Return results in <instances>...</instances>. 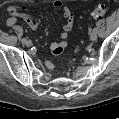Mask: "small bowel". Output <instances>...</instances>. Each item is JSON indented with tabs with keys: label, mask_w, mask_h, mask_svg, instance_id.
Returning <instances> with one entry per match:
<instances>
[{
	"label": "small bowel",
	"mask_w": 119,
	"mask_h": 119,
	"mask_svg": "<svg viewBox=\"0 0 119 119\" xmlns=\"http://www.w3.org/2000/svg\"><path fill=\"white\" fill-rule=\"evenodd\" d=\"M52 7L55 9H59L62 11L63 16L66 19V22L63 25V32L59 36V40L52 43L50 46L52 55H59L63 52L64 48L67 45L66 39L68 38L69 32L72 30L74 26V15L72 10L65 6L61 1H55L52 3ZM25 6L22 7H11L8 11L9 18L7 19V24L9 26H13L16 24L18 18L22 19L32 30H37L40 26V21L30 14L26 12H21V9H24ZM47 67L52 70L54 68V64L51 58L47 60Z\"/></svg>",
	"instance_id": "c3829d8e"
}]
</instances>
